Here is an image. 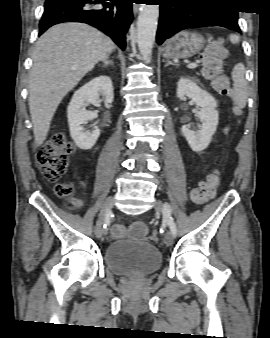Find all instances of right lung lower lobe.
<instances>
[{
	"instance_id": "obj_1",
	"label": "right lung lower lobe",
	"mask_w": 270,
	"mask_h": 338,
	"mask_svg": "<svg viewBox=\"0 0 270 338\" xmlns=\"http://www.w3.org/2000/svg\"><path fill=\"white\" fill-rule=\"evenodd\" d=\"M133 0H46L39 36L61 22H82L109 35L124 50L132 21Z\"/></svg>"
}]
</instances>
